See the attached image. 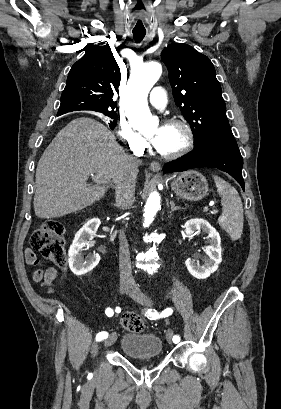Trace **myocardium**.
<instances>
[{
    "label": "myocardium",
    "instance_id": "myocardium-1",
    "mask_svg": "<svg viewBox=\"0 0 281 409\" xmlns=\"http://www.w3.org/2000/svg\"><path fill=\"white\" fill-rule=\"evenodd\" d=\"M165 126H175L184 133V143L180 148L173 152L165 153L155 148L156 153L164 160H175L187 154L194 145V133L190 125L184 120L171 118L165 121Z\"/></svg>",
    "mask_w": 281,
    "mask_h": 409
}]
</instances>
